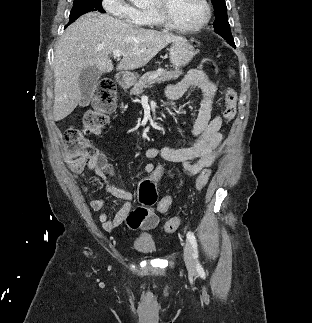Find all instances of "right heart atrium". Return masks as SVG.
I'll return each instance as SVG.
<instances>
[{
    "label": "right heart atrium",
    "instance_id": "right-heart-atrium-1",
    "mask_svg": "<svg viewBox=\"0 0 312 323\" xmlns=\"http://www.w3.org/2000/svg\"><path fill=\"white\" fill-rule=\"evenodd\" d=\"M105 13H114V17H122V22H139L142 10L132 6L129 0H103Z\"/></svg>",
    "mask_w": 312,
    "mask_h": 323
}]
</instances>
